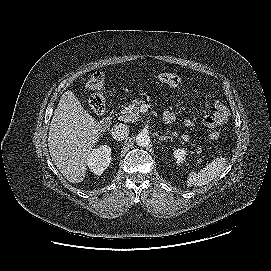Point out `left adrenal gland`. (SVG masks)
Listing matches in <instances>:
<instances>
[{
  "label": "left adrenal gland",
  "instance_id": "obj_1",
  "mask_svg": "<svg viewBox=\"0 0 271 271\" xmlns=\"http://www.w3.org/2000/svg\"><path fill=\"white\" fill-rule=\"evenodd\" d=\"M167 139H172L171 137H168V136H165V135H163V136H158V140L159 141H164V140H167Z\"/></svg>",
  "mask_w": 271,
  "mask_h": 271
}]
</instances>
